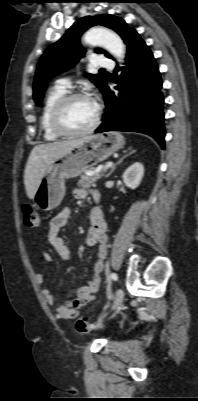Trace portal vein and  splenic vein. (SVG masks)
Here are the masks:
<instances>
[{"mask_svg": "<svg viewBox=\"0 0 198 401\" xmlns=\"http://www.w3.org/2000/svg\"><path fill=\"white\" fill-rule=\"evenodd\" d=\"M112 166H113V162H108L105 166V170L111 168Z\"/></svg>", "mask_w": 198, "mask_h": 401, "instance_id": "1", "label": "portal vein and splenic vein"}]
</instances>
